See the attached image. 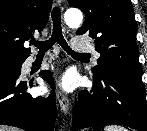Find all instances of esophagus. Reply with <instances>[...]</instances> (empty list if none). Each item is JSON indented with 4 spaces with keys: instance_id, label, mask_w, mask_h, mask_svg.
Instances as JSON below:
<instances>
[{
    "instance_id": "obj_1",
    "label": "esophagus",
    "mask_w": 147,
    "mask_h": 131,
    "mask_svg": "<svg viewBox=\"0 0 147 131\" xmlns=\"http://www.w3.org/2000/svg\"><path fill=\"white\" fill-rule=\"evenodd\" d=\"M59 4L63 2V0H57ZM57 101L60 105L61 111L66 115L69 112L70 107V99L66 94H64L61 90L57 92Z\"/></svg>"
}]
</instances>
